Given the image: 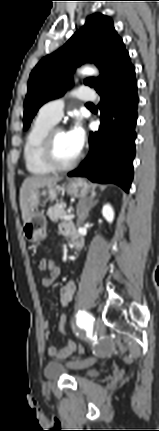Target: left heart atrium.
Instances as JSON below:
<instances>
[{"mask_svg":"<svg viewBox=\"0 0 159 431\" xmlns=\"http://www.w3.org/2000/svg\"><path fill=\"white\" fill-rule=\"evenodd\" d=\"M67 138L72 147L80 153L85 142V133L79 124H75L69 131L66 132Z\"/></svg>","mask_w":159,"mask_h":431,"instance_id":"1","label":"left heart atrium"}]
</instances>
